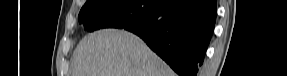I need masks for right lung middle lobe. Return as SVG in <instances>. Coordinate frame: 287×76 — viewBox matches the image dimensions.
<instances>
[{
  "label": "right lung middle lobe",
  "instance_id": "right-lung-middle-lobe-1",
  "mask_svg": "<svg viewBox=\"0 0 287 76\" xmlns=\"http://www.w3.org/2000/svg\"><path fill=\"white\" fill-rule=\"evenodd\" d=\"M159 0H90L84 4L78 21L85 30L125 28L148 19Z\"/></svg>",
  "mask_w": 287,
  "mask_h": 76
}]
</instances>
